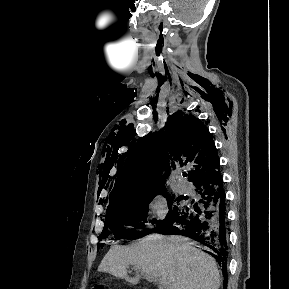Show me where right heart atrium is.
Segmentation results:
<instances>
[{
	"label": "right heart atrium",
	"mask_w": 289,
	"mask_h": 289,
	"mask_svg": "<svg viewBox=\"0 0 289 289\" xmlns=\"http://www.w3.org/2000/svg\"><path fill=\"white\" fill-rule=\"evenodd\" d=\"M149 215L156 221H161L167 213V204L163 195H154L147 204Z\"/></svg>",
	"instance_id": "1"
}]
</instances>
